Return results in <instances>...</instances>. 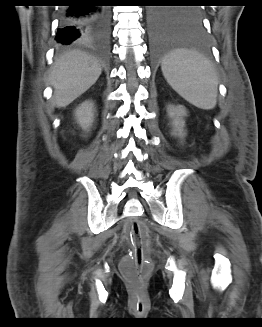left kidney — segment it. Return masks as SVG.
<instances>
[{"mask_svg": "<svg viewBox=\"0 0 262 327\" xmlns=\"http://www.w3.org/2000/svg\"><path fill=\"white\" fill-rule=\"evenodd\" d=\"M167 113L172 120L171 123L173 126V130L171 134L173 136L183 138L186 135L184 131L185 122L183 120V117L187 115V111L185 107L182 105L179 106L169 105L167 107Z\"/></svg>", "mask_w": 262, "mask_h": 327, "instance_id": "left-kidney-1", "label": "left kidney"}]
</instances>
